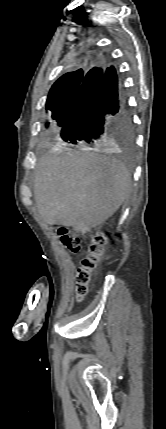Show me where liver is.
I'll use <instances>...</instances> for the list:
<instances>
[{"mask_svg":"<svg viewBox=\"0 0 166 429\" xmlns=\"http://www.w3.org/2000/svg\"><path fill=\"white\" fill-rule=\"evenodd\" d=\"M130 188L131 176L121 161L94 152L65 151L38 161L33 192L47 224L85 234L119 209Z\"/></svg>","mask_w":166,"mask_h":429,"instance_id":"6515ba94","label":"liver"}]
</instances>
